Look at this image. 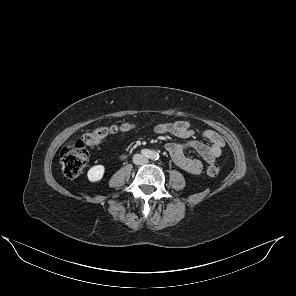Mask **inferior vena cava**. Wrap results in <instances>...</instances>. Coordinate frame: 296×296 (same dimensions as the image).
Returning <instances> with one entry per match:
<instances>
[{"label":"inferior vena cava","mask_w":296,"mask_h":296,"mask_svg":"<svg viewBox=\"0 0 296 296\" xmlns=\"http://www.w3.org/2000/svg\"><path fill=\"white\" fill-rule=\"evenodd\" d=\"M148 162V158L142 154H135L133 156V163L136 165H143Z\"/></svg>","instance_id":"602c4592"}]
</instances>
